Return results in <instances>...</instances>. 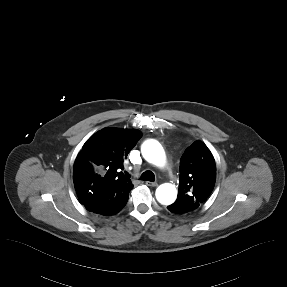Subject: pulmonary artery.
I'll list each match as a JSON object with an SVG mask.
<instances>
[{
    "label": "pulmonary artery",
    "mask_w": 287,
    "mask_h": 287,
    "mask_svg": "<svg viewBox=\"0 0 287 287\" xmlns=\"http://www.w3.org/2000/svg\"><path fill=\"white\" fill-rule=\"evenodd\" d=\"M166 169H167L168 171H171V166H170L169 164H167V165H166Z\"/></svg>",
    "instance_id": "1"
}]
</instances>
